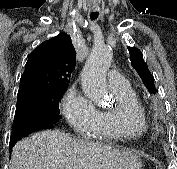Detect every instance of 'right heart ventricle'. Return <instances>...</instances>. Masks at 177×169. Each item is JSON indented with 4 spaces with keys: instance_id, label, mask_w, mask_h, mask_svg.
I'll return each instance as SVG.
<instances>
[{
    "instance_id": "1",
    "label": "right heart ventricle",
    "mask_w": 177,
    "mask_h": 169,
    "mask_svg": "<svg viewBox=\"0 0 177 169\" xmlns=\"http://www.w3.org/2000/svg\"><path fill=\"white\" fill-rule=\"evenodd\" d=\"M117 107L108 110H98V121L95 127V137L107 140L136 139L147 130L142 103L129 85L126 89L113 91Z\"/></svg>"
}]
</instances>
